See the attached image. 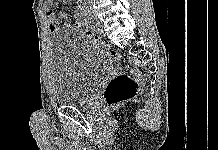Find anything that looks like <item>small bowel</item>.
<instances>
[{
	"mask_svg": "<svg viewBox=\"0 0 218 150\" xmlns=\"http://www.w3.org/2000/svg\"><path fill=\"white\" fill-rule=\"evenodd\" d=\"M53 1L54 0H46V2H45V10L47 12V18H48V21H49L50 31L52 33H55V32H58L60 30H70V29H72L73 26L71 24H69V23H64L62 25L60 24L59 18H63L66 15L64 13H56L51 9ZM75 16H76L77 19H79L78 18V13H76ZM81 22H79V23L86 26V24H84L83 22L81 23ZM75 27L77 28V26H75Z\"/></svg>",
	"mask_w": 218,
	"mask_h": 150,
	"instance_id": "obj_1",
	"label": "small bowel"
}]
</instances>
